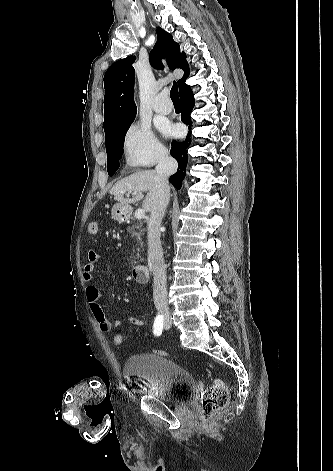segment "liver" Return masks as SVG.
Here are the masks:
<instances>
[{
	"label": "liver",
	"mask_w": 333,
	"mask_h": 471,
	"mask_svg": "<svg viewBox=\"0 0 333 471\" xmlns=\"http://www.w3.org/2000/svg\"><path fill=\"white\" fill-rule=\"evenodd\" d=\"M139 192L132 198H125L124 194L128 192ZM147 191V195L143 201L142 207L146 212H151L153 205L156 203L159 195L158 177L154 170H144L133 173L119 180L110 190V194L114 196L120 204L129 205L144 198L142 192Z\"/></svg>",
	"instance_id": "liver-1"
}]
</instances>
